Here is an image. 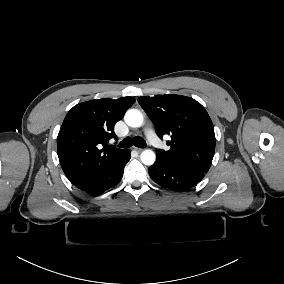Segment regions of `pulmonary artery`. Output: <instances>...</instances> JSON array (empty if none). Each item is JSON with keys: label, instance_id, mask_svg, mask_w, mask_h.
<instances>
[{"label": "pulmonary artery", "instance_id": "pulmonary-artery-1", "mask_svg": "<svg viewBox=\"0 0 284 284\" xmlns=\"http://www.w3.org/2000/svg\"><path fill=\"white\" fill-rule=\"evenodd\" d=\"M147 141L152 143V147L154 149H161L163 147V140L158 138V134L156 132H149L147 134Z\"/></svg>", "mask_w": 284, "mask_h": 284}]
</instances>
